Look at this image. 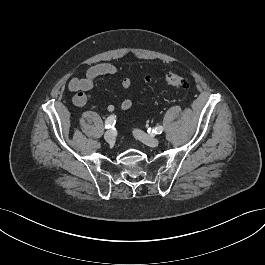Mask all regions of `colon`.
Returning a JSON list of instances; mask_svg holds the SVG:
<instances>
[{
    "label": "colon",
    "mask_w": 265,
    "mask_h": 265,
    "mask_svg": "<svg viewBox=\"0 0 265 265\" xmlns=\"http://www.w3.org/2000/svg\"><path fill=\"white\" fill-rule=\"evenodd\" d=\"M166 83L174 88L178 89H187L189 87V81L176 73L168 72L165 76ZM151 78L149 76L146 77V82H150Z\"/></svg>",
    "instance_id": "5ec220e1"
}]
</instances>
